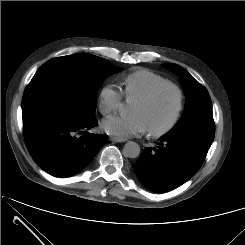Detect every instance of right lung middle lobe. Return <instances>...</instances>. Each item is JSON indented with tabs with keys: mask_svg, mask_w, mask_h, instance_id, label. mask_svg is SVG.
I'll return each instance as SVG.
<instances>
[{
	"mask_svg": "<svg viewBox=\"0 0 245 245\" xmlns=\"http://www.w3.org/2000/svg\"><path fill=\"white\" fill-rule=\"evenodd\" d=\"M51 67L65 72L64 81L29 83L22 99L24 130L56 121L83 123L93 119L101 83L123 69L91 54L58 57Z\"/></svg>",
	"mask_w": 245,
	"mask_h": 245,
	"instance_id": "obj_1",
	"label": "right lung middle lobe"
}]
</instances>
